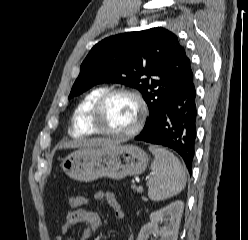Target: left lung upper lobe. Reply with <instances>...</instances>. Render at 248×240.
<instances>
[{"instance_id": "obj_1", "label": "left lung upper lobe", "mask_w": 248, "mask_h": 240, "mask_svg": "<svg viewBox=\"0 0 248 240\" xmlns=\"http://www.w3.org/2000/svg\"><path fill=\"white\" fill-rule=\"evenodd\" d=\"M192 79L190 59L178 37L157 27L97 43L83 61L69 98L104 82L136 88L149 108L146 126L166 99Z\"/></svg>"}]
</instances>
